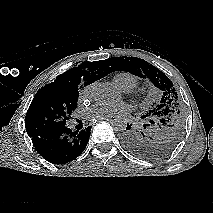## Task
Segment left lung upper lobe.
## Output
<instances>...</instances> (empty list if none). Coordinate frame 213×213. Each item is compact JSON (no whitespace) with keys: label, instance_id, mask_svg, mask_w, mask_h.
Returning <instances> with one entry per match:
<instances>
[{"label":"left lung upper lobe","instance_id":"obj_1","mask_svg":"<svg viewBox=\"0 0 213 213\" xmlns=\"http://www.w3.org/2000/svg\"><path fill=\"white\" fill-rule=\"evenodd\" d=\"M105 69L127 71L149 79L162 92V98L141 118L144 124L128 130L123 136L125 147L144 159H159L169 154L183 135L184 109L172 81L158 68L137 57H115L104 61Z\"/></svg>","mask_w":213,"mask_h":213}]
</instances>
